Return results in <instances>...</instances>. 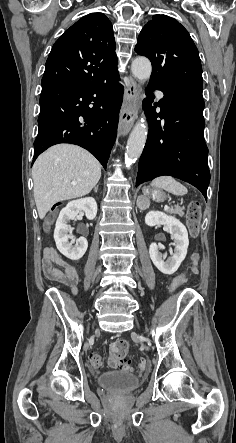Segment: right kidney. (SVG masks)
Segmentation results:
<instances>
[{"instance_id": "ca27d5eb", "label": "right kidney", "mask_w": 236, "mask_h": 443, "mask_svg": "<svg viewBox=\"0 0 236 443\" xmlns=\"http://www.w3.org/2000/svg\"><path fill=\"white\" fill-rule=\"evenodd\" d=\"M79 213H84L86 218L93 220L97 215V203L94 198L87 197L69 202L64 207L56 221L54 230V240L57 249L71 260H79L88 248L87 239L80 237L76 239L72 235V228L68 224L71 220H76ZM69 239H73L69 242Z\"/></svg>"}]
</instances>
